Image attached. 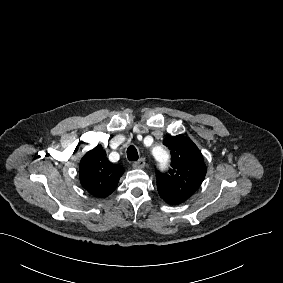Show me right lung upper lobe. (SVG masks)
I'll return each mask as SVG.
<instances>
[{
    "instance_id": "right-lung-upper-lobe-1",
    "label": "right lung upper lobe",
    "mask_w": 283,
    "mask_h": 283,
    "mask_svg": "<svg viewBox=\"0 0 283 283\" xmlns=\"http://www.w3.org/2000/svg\"><path fill=\"white\" fill-rule=\"evenodd\" d=\"M124 168L106 158L101 145L86 153L79 167L81 185L93 196L105 198L117 187Z\"/></svg>"
}]
</instances>
